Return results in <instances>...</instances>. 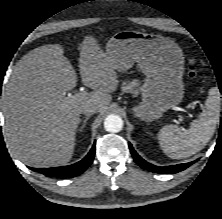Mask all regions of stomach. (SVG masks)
<instances>
[{"label":"stomach","instance_id":"obj_1","mask_svg":"<svg viewBox=\"0 0 222 219\" xmlns=\"http://www.w3.org/2000/svg\"><path fill=\"white\" fill-rule=\"evenodd\" d=\"M105 53L114 61L117 71H127L137 63L146 76L140 89L142 102L132 109L140 119H159L182 101L184 56L173 40L161 35L123 30L110 38Z\"/></svg>","mask_w":222,"mask_h":219}]
</instances>
